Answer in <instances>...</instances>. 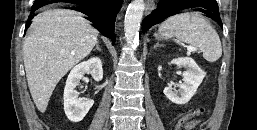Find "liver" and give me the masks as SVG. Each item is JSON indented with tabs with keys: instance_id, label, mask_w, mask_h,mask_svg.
<instances>
[{
	"instance_id": "obj_1",
	"label": "liver",
	"mask_w": 257,
	"mask_h": 130,
	"mask_svg": "<svg viewBox=\"0 0 257 130\" xmlns=\"http://www.w3.org/2000/svg\"><path fill=\"white\" fill-rule=\"evenodd\" d=\"M97 38L98 31L73 10H47L32 20L23 59L30 93L41 113L57 83L90 54Z\"/></svg>"
}]
</instances>
